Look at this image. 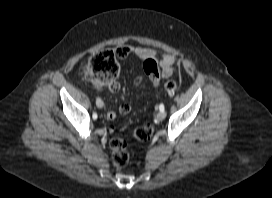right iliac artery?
I'll use <instances>...</instances> for the list:
<instances>
[{
	"mask_svg": "<svg viewBox=\"0 0 272 198\" xmlns=\"http://www.w3.org/2000/svg\"><path fill=\"white\" fill-rule=\"evenodd\" d=\"M93 118L97 119V114L96 113H93Z\"/></svg>",
	"mask_w": 272,
	"mask_h": 198,
	"instance_id": "82829eb1",
	"label": "right iliac artery"
}]
</instances>
